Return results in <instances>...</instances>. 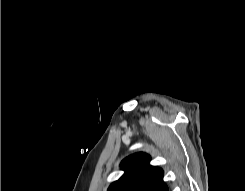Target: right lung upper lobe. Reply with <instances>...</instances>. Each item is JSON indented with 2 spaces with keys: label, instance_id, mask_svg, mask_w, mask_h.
Segmentation results:
<instances>
[{
  "label": "right lung upper lobe",
  "instance_id": "right-lung-upper-lobe-1",
  "mask_svg": "<svg viewBox=\"0 0 245 191\" xmlns=\"http://www.w3.org/2000/svg\"><path fill=\"white\" fill-rule=\"evenodd\" d=\"M151 157L143 152L128 156L121 162L125 171L108 191H168L163 170L149 164Z\"/></svg>",
  "mask_w": 245,
  "mask_h": 191
}]
</instances>
